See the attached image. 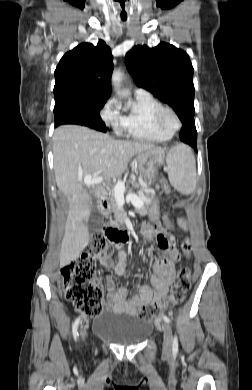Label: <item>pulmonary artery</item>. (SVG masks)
<instances>
[{"label":"pulmonary artery","instance_id":"pulmonary-artery-1","mask_svg":"<svg viewBox=\"0 0 252 390\" xmlns=\"http://www.w3.org/2000/svg\"><path fill=\"white\" fill-rule=\"evenodd\" d=\"M135 94L137 96H147V95H149V93L146 90L142 89V88H136L135 89Z\"/></svg>","mask_w":252,"mask_h":390}]
</instances>
